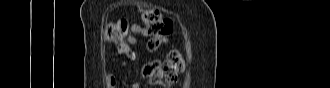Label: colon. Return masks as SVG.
Segmentation results:
<instances>
[{
  "instance_id": "1",
  "label": "colon",
  "mask_w": 330,
  "mask_h": 88,
  "mask_svg": "<svg viewBox=\"0 0 330 88\" xmlns=\"http://www.w3.org/2000/svg\"><path fill=\"white\" fill-rule=\"evenodd\" d=\"M139 13L142 25L149 36L147 49L150 52L157 51L166 43L173 30V23L154 9L142 8ZM129 35V25L125 19L111 22L104 29L105 41L116 45L118 48L125 46ZM184 68L183 55L178 50H172L163 61L154 59L146 62L142 68V75L151 84L170 87L176 82L178 75L183 72Z\"/></svg>"
}]
</instances>
